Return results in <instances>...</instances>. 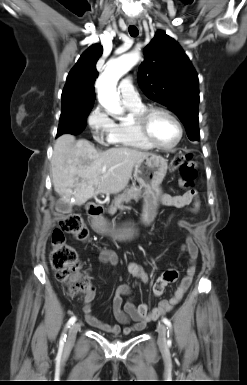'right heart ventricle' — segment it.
Masks as SVG:
<instances>
[{
  "instance_id": "obj_1",
  "label": "right heart ventricle",
  "mask_w": 247,
  "mask_h": 385,
  "mask_svg": "<svg viewBox=\"0 0 247 385\" xmlns=\"http://www.w3.org/2000/svg\"><path fill=\"white\" fill-rule=\"evenodd\" d=\"M128 108L132 120L119 121L114 123L113 129L109 136L110 143L140 150H149L152 148L140 135L135 125L136 117L143 112L145 106L141 103L139 105L125 104Z\"/></svg>"
}]
</instances>
